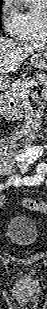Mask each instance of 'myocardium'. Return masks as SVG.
<instances>
[{"instance_id":"obj_1","label":"myocardium","mask_w":47,"mask_h":309,"mask_svg":"<svg viewBox=\"0 0 47 309\" xmlns=\"http://www.w3.org/2000/svg\"><path fill=\"white\" fill-rule=\"evenodd\" d=\"M44 22H45V31L47 33V15H46V12L44 14Z\"/></svg>"}]
</instances>
